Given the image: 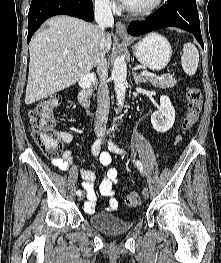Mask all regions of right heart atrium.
<instances>
[{
    "label": "right heart atrium",
    "instance_id": "right-heart-atrium-1",
    "mask_svg": "<svg viewBox=\"0 0 221 263\" xmlns=\"http://www.w3.org/2000/svg\"><path fill=\"white\" fill-rule=\"evenodd\" d=\"M94 3L104 10H114L116 8L115 0H94Z\"/></svg>",
    "mask_w": 221,
    "mask_h": 263
}]
</instances>
